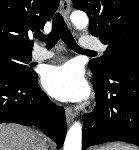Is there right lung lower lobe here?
Masks as SVG:
<instances>
[{
    "mask_svg": "<svg viewBox=\"0 0 139 150\" xmlns=\"http://www.w3.org/2000/svg\"><path fill=\"white\" fill-rule=\"evenodd\" d=\"M37 79V74L28 79L0 72V123L35 124L60 148L67 131L65 111L48 99Z\"/></svg>",
    "mask_w": 139,
    "mask_h": 150,
    "instance_id": "right-lung-lower-lobe-1",
    "label": "right lung lower lobe"
}]
</instances>
